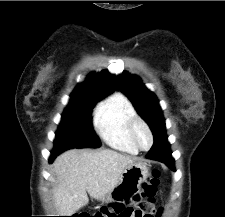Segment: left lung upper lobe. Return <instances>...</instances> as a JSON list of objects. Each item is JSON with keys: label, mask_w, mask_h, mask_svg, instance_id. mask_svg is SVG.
<instances>
[{"label": "left lung upper lobe", "mask_w": 225, "mask_h": 217, "mask_svg": "<svg viewBox=\"0 0 225 217\" xmlns=\"http://www.w3.org/2000/svg\"><path fill=\"white\" fill-rule=\"evenodd\" d=\"M116 89L128 96L136 111L150 126L154 135L152 148L158 146L164 153L171 154L166 136L165 120L157 97L143 85L137 76L128 72H123L117 77Z\"/></svg>", "instance_id": "1"}]
</instances>
